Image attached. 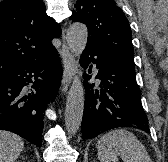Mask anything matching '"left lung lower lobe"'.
<instances>
[{
  "mask_svg": "<svg viewBox=\"0 0 168 162\" xmlns=\"http://www.w3.org/2000/svg\"><path fill=\"white\" fill-rule=\"evenodd\" d=\"M91 62L99 70L96 79L100 80V89H96L94 84L88 85L91 76L84 73L86 96L82 138H94L119 127H133L150 133L148 118L141 103V91L136 83L135 69L116 61L96 47L86 46L80 64L83 68H88Z\"/></svg>",
  "mask_w": 168,
  "mask_h": 162,
  "instance_id": "0a47b994",
  "label": "left lung lower lobe"
}]
</instances>
